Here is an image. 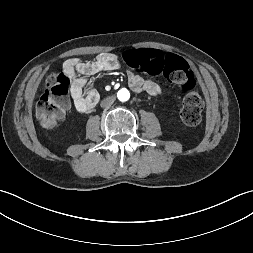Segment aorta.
Instances as JSON below:
<instances>
[{
  "label": "aorta",
  "mask_w": 253,
  "mask_h": 253,
  "mask_svg": "<svg viewBox=\"0 0 253 253\" xmlns=\"http://www.w3.org/2000/svg\"><path fill=\"white\" fill-rule=\"evenodd\" d=\"M117 97L120 101L125 102L130 98V93L126 88H122L118 91Z\"/></svg>",
  "instance_id": "1"
}]
</instances>
